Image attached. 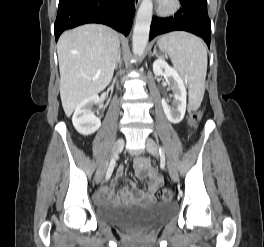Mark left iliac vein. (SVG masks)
<instances>
[{"label":"left iliac vein","mask_w":264,"mask_h":247,"mask_svg":"<svg viewBox=\"0 0 264 247\" xmlns=\"http://www.w3.org/2000/svg\"><path fill=\"white\" fill-rule=\"evenodd\" d=\"M146 149L152 155L159 156L158 146L154 142V140H152L151 138H147V140H146ZM166 165H167V169H168V172H169L171 179L175 182L178 181V172H177V169L174 166V164L168 160L166 162Z\"/></svg>","instance_id":"obj_1"}]
</instances>
